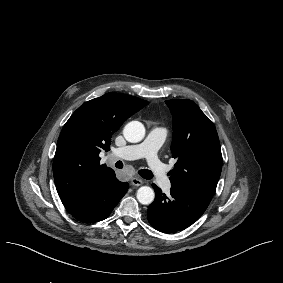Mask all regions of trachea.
Instances as JSON below:
<instances>
[{"instance_id": "3493384b", "label": "trachea", "mask_w": 283, "mask_h": 283, "mask_svg": "<svg viewBox=\"0 0 283 283\" xmlns=\"http://www.w3.org/2000/svg\"><path fill=\"white\" fill-rule=\"evenodd\" d=\"M115 166L117 167V168H123V163H122V161H117L116 162V164H115ZM139 175L141 176V177H143L144 179H152L153 178V173H152V171H150V170H148V169H142V170H139Z\"/></svg>"}]
</instances>
